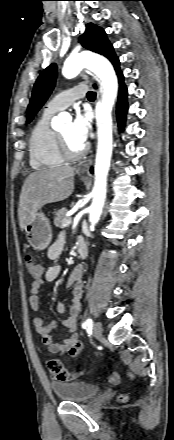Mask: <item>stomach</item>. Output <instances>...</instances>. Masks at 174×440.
<instances>
[{
  "instance_id": "stomach-1",
  "label": "stomach",
  "mask_w": 174,
  "mask_h": 440,
  "mask_svg": "<svg viewBox=\"0 0 174 440\" xmlns=\"http://www.w3.org/2000/svg\"><path fill=\"white\" fill-rule=\"evenodd\" d=\"M26 239L34 250L46 249L52 239V229L49 219L43 213L36 217L25 228Z\"/></svg>"
}]
</instances>
